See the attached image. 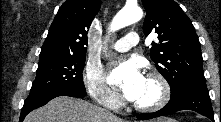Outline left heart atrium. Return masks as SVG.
<instances>
[{"label": "left heart atrium", "instance_id": "1", "mask_svg": "<svg viewBox=\"0 0 221 122\" xmlns=\"http://www.w3.org/2000/svg\"><path fill=\"white\" fill-rule=\"evenodd\" d=\"M108 81L119 88L124 97L134 101L140 94L145 83L140 63L135 59L118 63L109 73Z\"/></svg>", "mask_w": 221, "mask_h": 122}]
</instances>
